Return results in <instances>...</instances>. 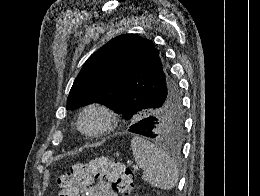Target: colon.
<instances>
[{"label": "colon", "mask_w": 260, "mask_h": 196, "mask_svg": "<svg viewBox=\"0 0 260 196\" xmlns=\"http://www.w3.org/2000/svg\"><path fill=\"white\" fill-rule=\"evenodd\" d=\"M131 177L132 170L123 161L94 159L76 165L58 178L59 196H80L86 186L107 181L118 192H130L133 186Z\"/></svg>", "instance_id": "colon-1"}]
</instances>
